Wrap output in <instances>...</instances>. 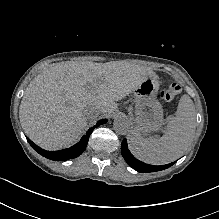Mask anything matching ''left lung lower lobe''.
<instances>
[{
    "label": "left lung lower lobe",
    "mask_w": 219,
    "mask_h": 219,
    "mask_svg": "<svg viewBox=\"0 0 219 219\" xmlns=\"http://www.w3.org/2000/svg\"><path fill=\"white\" fill-rule=\"evenodd\" d=\"M121 151H122V155H123L125 161L128 163V165L131 166L132 168H134L135 170H137L138 172L147 173V172L161 171V170L169 168L170 166H172L175 163V162H172L170 164L160 165V166L149 165V164L143 163V162L137 160L131 154V152L129 151V149L127 147L126 139H124L122 141Z\"/></svg>",
    "instance_id": "obj_1"
}]
</instances>
